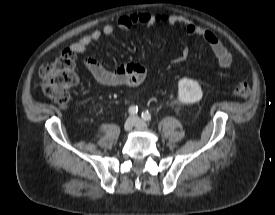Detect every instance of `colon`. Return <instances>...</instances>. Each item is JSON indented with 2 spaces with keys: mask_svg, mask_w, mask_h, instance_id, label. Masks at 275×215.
Here are the masks:
<instances>
[{
  "mask_svg": "<svg viewBox=\"0 0 275 215\" xmlns=\"http://www.w3.org/2000/svg\"><path fill=\"white\" fill-rule=\"evenodd\" d=\"M76 55L65 49L55 60L43 65L40 69L42 90L46 97L60 106H66L71 90L78 82L75 71ZM233 95L246 98L250 95V86L245 82H237L230 87Z\"/></svg>",
  "mask_w": 275,
  "mask_h": 215,
  "instance_id": "obj_1",
  "label": "colon"
}]
</instances>
